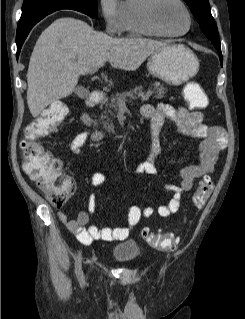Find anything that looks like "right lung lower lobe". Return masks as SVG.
<instances>
[{
  "mask_svg": "<svg viewBox=\"0 0 245 319\" xmlns=\"http://www.w3.org/2000/svg\"><path fill=\"white\" fill-rule=\"evenodd\" d=\"M44 18V17H42ZM42 18L36 19L34 21H31L30 23L23 25V26H18L17 28V34H16V44H17V58L20 54L21 47L28 36L30 30L32 27L39 22Z\"/></svg>",
  "mask_w": 245,
  "mask_h": 319,
  "instance_id": "98d812e1",
  "label": "right lung lower lobe"
}]
</instances>
